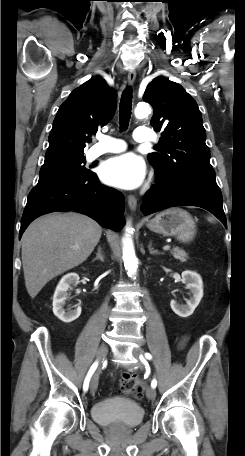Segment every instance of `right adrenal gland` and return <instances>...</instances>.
I'll return each mask as SVG.
<instances>
[{
	"instance_id": "right-adrenal-gland-1",
	"label": "right adrenal gland",
	"mask_w": 245,
	"mask_h": 456,
	"mask_svg": "<svg viewBox=\"0 0 245 456\" xmlns=\"http://www.w3.org/2000/svg\"><path fill=\"white\" fill-rule=\"evenodd\" d=\"M97 259L104 262V254H103L102 248L100 246L98 247V251H97V254H96V257L94 258V260H97Z\"/></svg>"
}]
</instances>
